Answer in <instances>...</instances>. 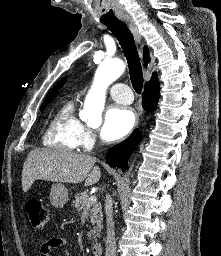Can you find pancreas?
<instances>
[{
  "label": "pancreas",
  "mask_w": 221,
  "mask_h": 256,
  "mask_svg": "<svg viewBox=\"0 0 221 256\" xmlns=\"http://www.w3.org/2000/svg\"><path fill=\"white\" fill-rule=\"evenodd\" d=\"M75 199L76 200L74 201L73 208H75L78 212H81L82 210L89 211V216L91 219L90 222L92 223L93 227L88 233V238L96 239L102 229L103 214L101 204L97 202H90L87 192L76 194Z\"/></svg>",
  "instance_id": "obj_1"
}]
</instances>
